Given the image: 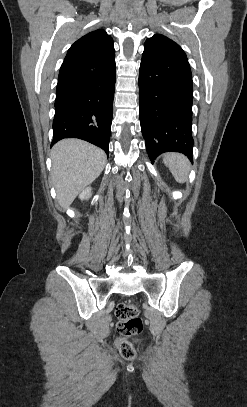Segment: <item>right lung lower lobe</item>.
Instances as JSON below:
<instances>
[{
    "instance_id": "98d812e1",
    "label": "right lung lower lobe",
    "mask_w": 247,
    "mask_h": 407,
    "mask_svg": "<svg viewBox=\"0 0 247 407\" xmlns=\"http://www.w3.org/2000/svg\"><path fill=\"white\" fill-rule=\"evenodd\" d=\"M115 74L113 58L79 80L57 87L51 146L63 138H79L108 155Z\"/></svg>"
}]
</instances>
